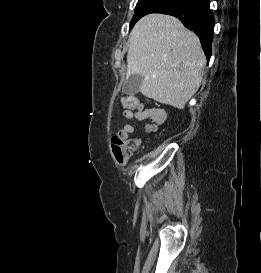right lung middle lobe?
Instances as JSON below:
<instances>
[{
    "instance_id": "obj_1",
    "label": "right lung middle lobe",
    "mask_w": 261,
    "mask_h": 273,
    "mask_svg": "<svg viewBox=\"0 0 261 273\" xmlns=\"http://www.w3.org/2000/svg\"><path fill=\"white\" fill-rule=\"evenodd\" d=\"M167 0H139L134 16L130 22V29L135 25V23L143 16L150 13H159L160 11L166 9Z\"/></svg>"
}]
</instances>
